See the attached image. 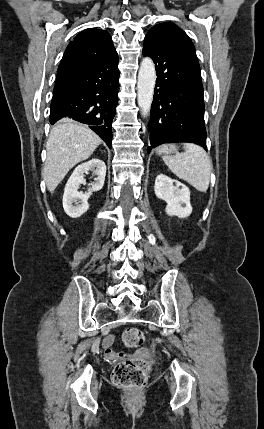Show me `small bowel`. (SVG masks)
Returning <instances> with one entry per match:
<instances>
[{
    "instance_id": "small-bowel-1",
    "label": "small bowel",
    "mask_w": 264,
    "mask_h": 429,
    "mask_svg": "<svg viewBox=\"0 0 264 429\" xmlns=\"http://www.w3.org/2000/svg\"><path fill=\"white\" fill-rule=\"evenodd\" d=\"M114 340H115V337L113 335H109V336H107L104 339V341H103V347H104L106 356L109 359H112V360L117 359L119 357H126V356H128V355H124V354H119V353H117L116 351H114L112 349V345L114 343ZM137 354L143 355L144 353L143 352H138Z\"/></svg>"
}]
</instances>
